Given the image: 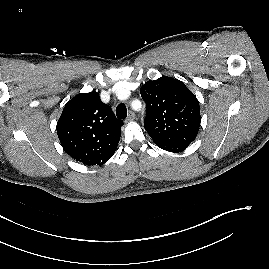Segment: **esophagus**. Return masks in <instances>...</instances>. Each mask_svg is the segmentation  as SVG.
<instances>
[{
  "label": "esophagus",
  "instance_id": "esophagus-1",
  "mask_svg": "<svg viewBox=\"0 0 269 269\" xmlns=\"http://www.w3.org/2000/svg\"><path fill=\"white\" fill-rule=\"evenodd\" d=\"M135 119V114L132 111H129L127 121H133Z\"/></svg>",
  "mask_w": 269,
  "mask_h": 269
}]
</instances>
